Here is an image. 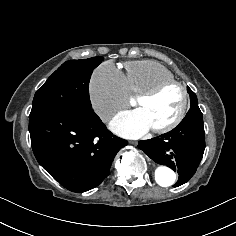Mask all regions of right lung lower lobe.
I'll use <instances>...</instances> for the list:
<instances>
[{"label":"right lung lower lobe","mask_w":236,"mask_h":236,"mask_svg":"<svg viewBox=\"0 0 236 236\" xmlns=\"http://www.w3.org/2000/svg\"><path fill=\"white\" fill-rule=\"evenodd\" d=\"M34 155L62 186L85 192L108 175L117 152L128 142L112 135L90 110L64 109L29 119Z\"/></svg>","instance_id":"1"}]
</instances>
